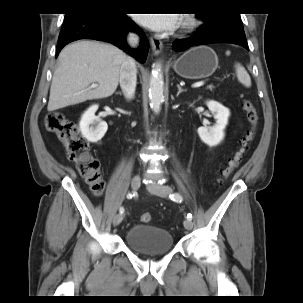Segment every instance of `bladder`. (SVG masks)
Wrapping results in <instances>:
<instances>
[{"label":"bladder","instance_id":"obj_1","mask_svg":"<svg viewBox=\"0 0 303 303\" xmlns=\"http://www.w3.org/2000/svg\"><path fill=\"white\" fill-rule=\"evenodd\" d=\"M126 246L144 256H158L173 248L172 234L149 224H135L125 233Z\"/></svg>","mask_w":303,"mask_h":303}]
</instances>
